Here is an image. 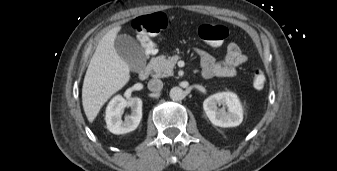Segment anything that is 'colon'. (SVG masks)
Masks as SVG:
<instances>
[{"label":"colon","instance_id":"colon-1","mask_svg":"<svg viewBox=\"0 0 337 171\" xmlns=\"http://www.w3.org/2000/svg\"><path fill=\"white\" fill-rule=\"evenodd\" d=\"M170 19L162 13L139 16L132 22V29L139 35L141 40V52L146 57H153L158 52V45L150 40V35L158 33L170 26ZM199 37L205 41V45L210 50H218L228 36V30L221 25L204 23L198 29ZM253 86L257 89L264 87L266 76L260 68L253 70Z\"/></svg>","mask_w":337,"mask_h":171}]
</instances>
